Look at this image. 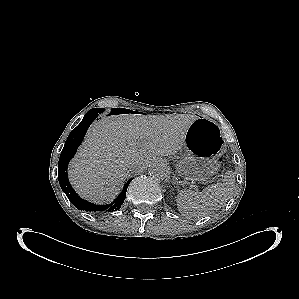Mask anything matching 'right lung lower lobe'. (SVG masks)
<instances>
[{"instance_id": "obj_1", "label": "right lung lower lobe", "mask_w": 299, "mask_h": 299, "mask_svg": "<svg viewBox=\"0 0 299 299\" xmlns=\"http://www.w3.org/2000/svg\"><path fill=\"white\" fill-rule=\"evenodd\" d=\"M98 114L99 113L85 114L81 123L75 129H73L69 134L59 159L58 179H59L60 186L62 190L65 192L68 199L79 210H85L87 212L106 210L108 212H113L118 210L121 207V205L124 203L127 187L133 178L127 181V183L124 185L123 191L120 193L118 198L115 201H113V203L109 205L99 206L81 199L71 187L67 176L68 163L76 153V150L78 146L81 144L88 127L96 119Z\"/></svg>"}]
</instances>
